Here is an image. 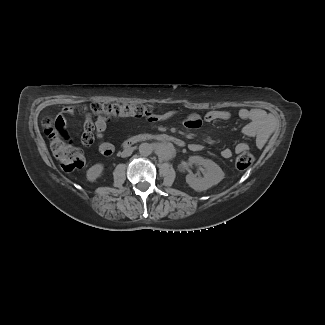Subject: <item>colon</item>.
<instances>
[{
	"mask_svg": "<svg viewBox=\"0 0 325 325\" xmlns=\"http://www.w3.org/2000/svg\"><path fill=\"white\" fill-rule=\"evenodd\" d=\"M78 111L84 113L86 109L79 108ZM89 112L97 117L101 116L110 120L150 116L153 114V109L142 104L92 103ZM44 126L46 134L50 139L51 150L59 161L61 168L64 171L70 172L83 167L85 162L83 151L60 138L51 119H45ZM253 162V155L248 151H244L237 156L235 164L239 170H245Z\"/></svg>",
	"mask_w": 325,
	"mask_h": 325,
	"instance_id": "obj_1",
	"label": "colon"
}]
</instances>
